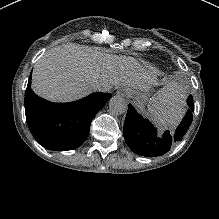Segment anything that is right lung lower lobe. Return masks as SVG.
Returning a JSON list of instances; mask_svg holds the SVG:
<instances>
[{
	"instance_id": "98d812e1",
	"label": "right lung lower lobe",
	"mask_w": 219,
	"mask_h": 219,
	"mask_svg": "<svg viewBox=\"0 0 219 219\" xmlns=\"http://www.w3.org/2000/svg\"><path fill=\"white\" fill-rule=\"evenodd\" d=\"M25 92V114L35 139L52 150H70L80 146L88 136L90 123L111 94L93 93L71 103H52L37 96L30 88Z\"/></svg>"
}]
</instances>
